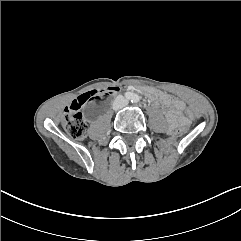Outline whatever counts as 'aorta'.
Returning a JSON list of instances; mask_svg holds the SVG:
<instances>
[{
  "instance_id": "762f6f07",
  "label": "aorta",
  "mask_w": 241,
  "mask_h": 241,
  "mask_svg": "<svg viewBox=\"0 0 241 241\" xmlns=\"http://www.w3.org/2000/svg\"><path fill=\"white\" fill-rule=\"evenodd\" d=\"M138 100H139V99H138V96H137V95L133 96L132 101L136 102V101H138Z\"/></svg>"
}]
</instances>
